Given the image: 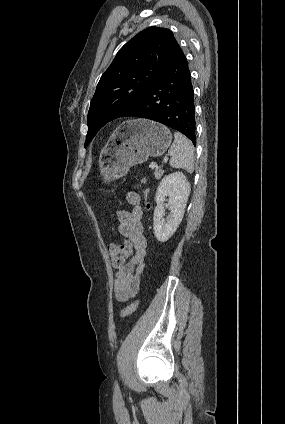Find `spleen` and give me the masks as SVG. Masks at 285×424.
<instances>
[{"mask_svg":"<svg viewBox=\"0 0 285 424\" xmlns=\"http://www.w3.org/2000/svg\"><path fill=\"white\" fill-rule=\"evenodd\" d=\"M169 165L172 168H182L189 173L194 171V150L191 142L181 133H174V142L170 147Z\"/></svg>","mask_w":285,"mask_h":424,"instance_id":"spleen-1","label":"spleen"}]
</instances>
